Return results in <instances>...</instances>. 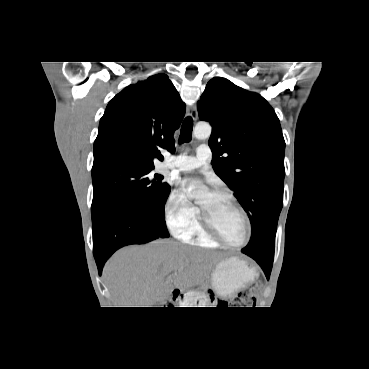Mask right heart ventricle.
I'll return each instance as SVG.
<instances>
[{
  "mask_svg": "<svg viewBox=\"0 0 369 369\" xmlns=\"http://www.w3.org/2000/svg\"><path fill=\"white\" fill-rule=\"evenodd\" d=\"M181 238L184 240L192 241L197 245L204 247H216L218 243L211 239L202 229L200 222L197 221L191 228L190 232L185 235H181Z\"/></svg>",
  "mask_w": 369,
  "mask_h": 369,
  "instance_id": "1",
  "label": "right heart ventricle"
}]
</instances>
